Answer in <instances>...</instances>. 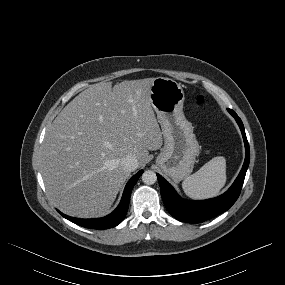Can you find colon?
Here are the masks:
<instances>
[{"label":"colon","instance_id":"colon-1","mask_svg":"<svg viewBox=\"0 0 285 285\" xmlns=\"http://www.w3.org/2000/svg\"><path fill=\"white\" fill-rule=\"evenodd\" d=\"M205 103V97L203 95H200L197 97V104L198 106H202Z\"/></svg>","mask_w":285,"mask_h":285}]
</instances>
